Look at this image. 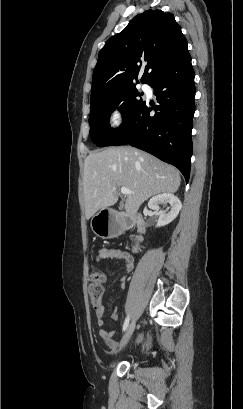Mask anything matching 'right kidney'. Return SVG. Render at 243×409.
I'll use <instances>...</instances> for the list:
<instances>
[{"label": "right kidney", "mask_w": 243, "mask_h": 409, "mask_svg": "<svg viewBox=\"0 0 243 409\" xmlns=\"http://www.w3.org/2000/svg\"><path fill=\"white\" fill-rule=\"evenodd\" d=\"M166 203L170 204V211L167 213L165 211H159V205ZM148 207L158 212L159 219L156 227H161L169 224L177 217L182 208V204L178 197H176L174 194L163 193L152 197L148 202Z\"/></svg>", "instance_id": "ca27d5eb"}]
</instances>
